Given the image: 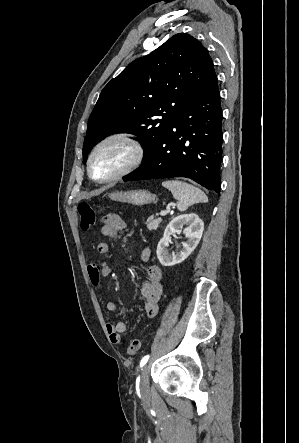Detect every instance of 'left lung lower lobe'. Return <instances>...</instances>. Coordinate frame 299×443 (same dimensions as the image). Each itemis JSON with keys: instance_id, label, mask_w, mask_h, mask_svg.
<instances>
[{"instance_id": "obj_1", "label": "left lung lower lobe", "mask_w": 299, "mask_h": 443, "mask_svg": "<svg viewBox=\"0 0 299 443\" xmlns=\"http://www.w3.org/2000/svg\"><path fill=\"white\" fill-rule=\"evenodd\" d=\"M222 109L215 72L187 102L141 166L124 181L190 178L220 193Z\"/></svg>"}]
</instances>
